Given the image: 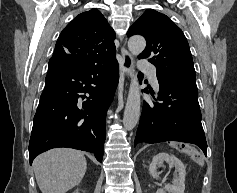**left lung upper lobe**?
<instances>
[{"label":"left lung upper lobe","mask_w":237,"mask_h":193,"mask_svg":"<svg viewBox=\"0 0 237 193\" xmlns=\"http://www.w3.org/2000/svg\"><path fill=\"white\" fill-rule=\"evenodd\" d=\"M135 34L147 40L139 58H149L148 61L156 66L158 79L196 85L187 39L166 15L153 9L146 10L127 32L129 37Z\"/></svg>","instance_id":"5c2ea615"}]
</instances>
